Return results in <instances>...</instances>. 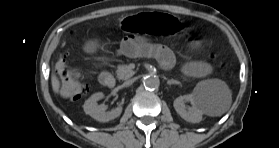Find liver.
<instances>
[{
  "instance_id": "liver-1",
  "label": "liver",
  "mask_w": 279,
  "mask_h": 148,
  "mask_svg": "<svg viewBox=\"0 0 279 148\" xmlns=\"http://www.w3.org/2000/svg\"><path fill=\"white\" fill-rule=\"evenodd\" d=\"M51 83H52V89H53L54 93H59L60 81L54 73H52V76H51Z\"/></svg>"
}]
</instances>
